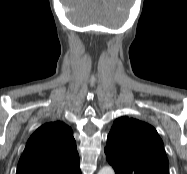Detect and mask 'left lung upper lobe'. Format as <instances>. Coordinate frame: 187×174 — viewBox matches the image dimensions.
I'll list each match as a JSON object with an SVG mask.
<instances>
[{
    "label": "left lung upper lobe",
    "mask_w": 187,
    "mask_h": 174,
    "mask_svg": "<svg viewBox=\"0 0 187 174\" xmlns=\"http://www.w3.org/2000/svg\"><path fill=\"white\" fill-rule=\"evenodd\" d=\"M105 154L115 174H169L163 141L154 127L136 119L114 122Z\"/></svg>",
    "instance_id": "1"
}]
</instances>
